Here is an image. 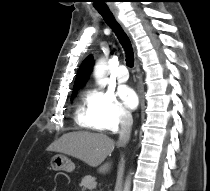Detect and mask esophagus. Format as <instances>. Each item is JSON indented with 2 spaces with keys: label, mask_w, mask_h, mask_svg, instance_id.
I'll list each match as a JSON object with an SVG mask.
<instances>
[{
  "label": "esophagus",
  "mask_w": 210,
  "mask_h": 191,
  "mask_svg": "<svg viewBox=\"0 0 210 191\" xmlns=\"http://www.w3.org/2000/svg\"><path fill=\"white\" fill-rule=\"evenodd\" d=\"M110 9H111L113 15L115 16L116 20L120 23V25L124 28V30H126L123 23L119 19L118 10L115 7H111ZM135 67H136V72H137V78H139V76H138V73H139V62H138V60H136V62H135ZM138 92H139V95H140L139 85H138Z\"/></svg>",
  "instance_id": "1"
}]
</instances>
